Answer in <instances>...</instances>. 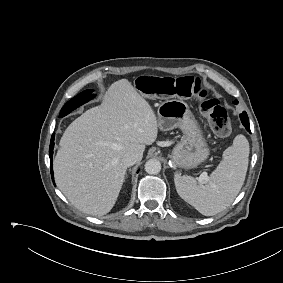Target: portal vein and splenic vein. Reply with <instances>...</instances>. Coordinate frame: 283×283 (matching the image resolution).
Here are the masks:
<instances>
[{"instance_id":"1","label":"portal vein and splenic vein","mask_w":283,"mask_h":283,"mask_svg":"<svg viewBox=\"0 0 283 283\" xmlns=\"http://www.w3.org/2000/svg\"><path fill=\"white\" fill-rule=\"evenodd\" d=\"M206 178H207V173H206V172H203V173L200 175V177H199L200 181H203V180H205Z\"/></svg>"}]
</instances>
